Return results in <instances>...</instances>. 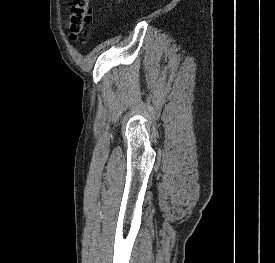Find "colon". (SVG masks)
Segmentation results:
<instances>
[{
  "label": "colon",
  "mask_w": 275,
  "mask_h": 263,
  "mask_svg": "<svg viewBox=\"0 0 275 263\" xmlns=\"http://www.w3.org/2000/svg\"><path fill=\"white\" fill-rule=\"evenodd\" d=\"M92 0H72L68 32L72 41L84 42L88 26L93 20Z\"/></svg>",
  "instance_id": "5ec220e1"
}]
</instances>
